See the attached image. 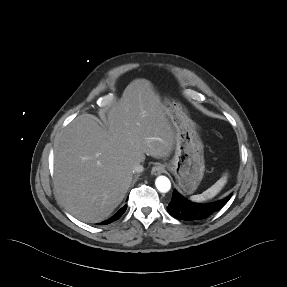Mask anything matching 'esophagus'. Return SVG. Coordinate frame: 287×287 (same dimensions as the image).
<instances>
[{
	"label": "esophagus",
	"mask_w": 287,
	"mask_h": 287,
	"mask_svg": "<svg viewBox=\"0 0 287 287\" xmlns=\"http://www.w3.org/2000/svg\"><path fill=\"white\" fill-rule=\"evenodd\" d=\"M164 171H165V167L162 164L157 163L155 166H153L151 173L153 175H159L163 173Z\"/></svg>",
	"instance_id": "esophagus-1"
}]
</instances>
